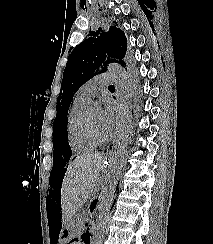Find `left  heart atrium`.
<instances>
[{"label":"left heart atrium","instance_id":"obj_1","mask_svg":"<svg viewBox=\"0 0 213 244\" xmlns=\"http://www.w3.org/2000/svg\"><path fill=\"white\" fill-rule=\"evenodd\" d=\"M116 119V109L111 101H106L104 104V109L101 113V122L104 129L111 133L115 124Z\"/></svg>","mask_w":213,"mask_h":244}]
</instances>
